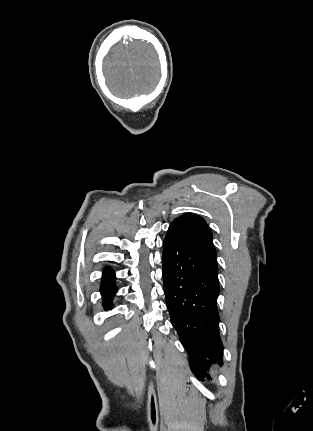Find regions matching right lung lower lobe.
Instances as JSON below:
<instances>
[{"label": "right lung lower lobe", "mask_w": 313, "mask_h": 431, "mask_svg": "<svg viewBox=\"0 0 313 431\" xmlns=\"http://www.w3.org/2000/svg\"><path fill=\"white\" fill-rule=\"evenodd\" d=\"M101 295L103 297V306L105 310L112 308V299L117 292L115 286V273L110 268H105L102 275Z\"/></svg>", "instance_id": "98d812e1"}]
</instances>
